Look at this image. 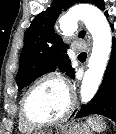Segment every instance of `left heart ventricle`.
<instances>
[{
    "instance_id": "b2bd125f",
    "label": "left heart ventricle",
    "mask_w": 116,
    "mask_h": 134,
    "mask_svg": "<svg viewBox=\"0 0 116 134\" xmlns=\"http://www.w3.org/2000/svg\"><path fill=\"white\" fill-rule=\"evenodd\" d=\"M69 103L65 87L55 81H46L36 86L26 100L28 115L37 121H45L61 116Z\"/></svg>"
}]
</instances>
